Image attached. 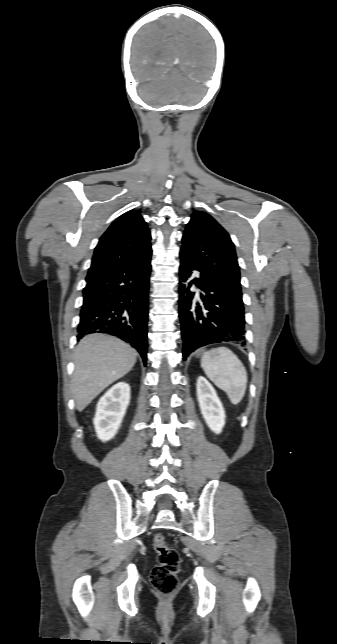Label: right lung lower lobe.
Here are the masks:
<instances>
[{
    "label": "right lung lower lobe",
    "instance_id": "right-lung-lower-lobe-1",
    "mask_svg": "<svg viewBox=\"0 0 337 644\" xmlns=\"http://www.w3.org/2000/svg\"><path fill=\"white\" fill-rule=\"evenodd\" d=\"M150 258L122 265L87 283L78 339L96 332L118 336L136 348L146 364Z\"/></svg>",
    "mask_w": 337,
    "mask_h": 644
}]
</instances>
